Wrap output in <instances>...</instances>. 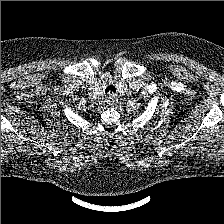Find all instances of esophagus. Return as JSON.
Wrapping results in <instances>:
<instances>
[{
  "instance_id": "esophagus-1",
  "label": "esophagus",
  "mask_w": 224,
  "mask_h": 224,
  "mask_svg": "<svg viewBox=\"0 0 224 224\" xmlns=\"http://www.w3.org/2000/svg\"><path fill=\"white\" fill-rule=\"evenodd\" d=\"M115 102H116V98L111 96V94H110V96L108 97L107 103L109 105H113Z\"/></svg>"
}]
</instances>
